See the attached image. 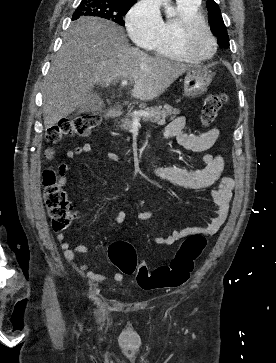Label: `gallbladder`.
Returning <instances> with one entry per match:
<instances>
[{
  "mask_svg": "<svg viewBox=\"0 0 276 363\" xmlns=\"http://www.w3.org/2000/svg\"><path fill=\"white\" fill-rule=\"evenodd\" d=\"M104 107L103 100L94 92H91L85 102L78 108L77 113H89L102 110Z\"/></svg>",
  "mask_w": 276,
  "mask_h": 363,
  "instance_id": "obj_1",
  "label": "gallbladder"
}]
</instances>
